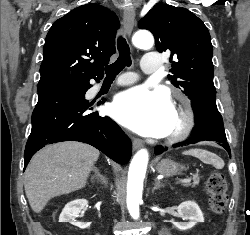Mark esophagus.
<instances>
[{
    "instance_id": "34e87169",
    "label": "esophagus",
    "mask_w": 250,
    "mask_h": 235,
    "mask_svg": "<svg viewBox=\"0 0 250 235\" xmlns=\"http://www.w3.org/2000/svg\"><path fill=\"white\" fill-rule=\"evenodd\" d=\"M135 21V12L132 7H127L123 12V25L126 36L130 39L133 31ZM143 145L142 141L138 138L132 140V147L134 150L141 148Z\"/></svg>"
}]
</instances>
